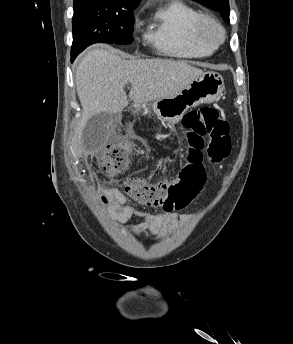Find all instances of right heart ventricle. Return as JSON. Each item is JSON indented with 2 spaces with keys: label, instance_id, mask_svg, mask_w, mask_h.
<instances>
[{
  "label": "right heart ventricle",
  "instance_id": "1",
  "mask_svg": "<svg viewBox=\"0 0 293 344\" xmlns=\"http://www.w3.org/2000/svg\"><path fill=\"white\" fill-rule=\"evenodd\" d=\"M200 12L182 0L160 6L146 29L144 40L159 53L169 57L197 59L211 55L214 49L196 38L195 26Z\"/></svg>",
  "mask_w": 293,
  "mask_h": 344
}]
</instances>
